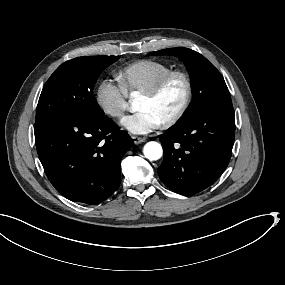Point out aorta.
Listing matches in <instances>:
<instances>
[{"instance_id": "aorta-1", "label": "aorta", "mask_w": 285, "mask_h": 285, "mask_svg": "<svg viewBox=\"0 0 285 285\" xmlns=\"http://www.w3.org/2000/svg\"><path fill=\"white\" fill-rule=\"evenodd\" d=\"M143 153L144 156L150 161L158 160L163 154L162 146L155 141L148 142L144 146Z\"/></svg>"}]
</instances>
